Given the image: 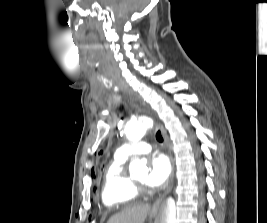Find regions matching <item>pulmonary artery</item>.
I'll list each match as a JSON object with an SVG mask.
<instances>
[{
    "label": "pulmonary artery",
    "instance_id": "e3ab8cb5",
    "mask_svg": "<svg viewBox=\"0 0 267 223\" xmlns=\"http://www.w3.org/2000/svg\"><path fill=\"white\" fill-rule=\"evenodd\" d=\"M152 149V146L150 143H141L138 145H131V144H123L118 150L117 155L120 157H130L137 154H145L150 152Z\"/></svg>",
    "mask_w": 267,
    "mask_h": 223
}]
</instances>
